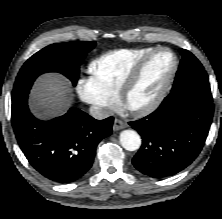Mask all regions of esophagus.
I'll use <instances>...</instances> for the list:
<instances>
[{
	"instance_id": "esophagus-1",
	"label": "esophagus",
	"mask_w": 222,
	"mask_h": 219,
	"mask_svg": "<svg viewBox=\"0 0 222 219\" xmlns=\"http://www.w3.org/2000/svg\"><path fill=\"white\" fill-rule=\"evenodd\" d=\"M125 127H126V124L121 119L115 118L114 123H113L114 131L121 130Z\"/></svg>"
}]
</instances>
